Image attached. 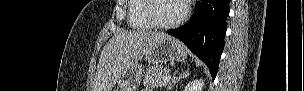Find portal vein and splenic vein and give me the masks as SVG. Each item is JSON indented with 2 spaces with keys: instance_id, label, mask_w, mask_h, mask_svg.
Wrapping results in <instances>:
<instances>
[{
  "instance_id": "obj_1",
  "label": "portal vein and splenic vein",
  "mask_w": 304,
  "mask_h": 91,
  "mask_svg": "<svg viewBox=\"0 0 304 91\" xmlns=\"http://www.w3.org/2000/svg\"><path fill=\"white\" fill-rule=\"evenodd\" d=\"M170 79V74H168L165 78H164V82L162 85L166 84Z\"/></svg>"
}]
</instances>
